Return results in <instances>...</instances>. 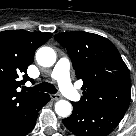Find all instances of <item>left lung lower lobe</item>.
Here are the masks:
<instances>
[{
    "label": "left lung lower lobe",
    "instance_id": "left-lung-lower-lobe-1",
    "mask_svg": "<svg viewBox=\"0 0 136 136\" xmlns=\"http://www.w3.org/2000/svg\"><path fill=\"white\" fill-rule=\"evenodd\" d=\"M73 113L62 122L77 136H107L117 127L124 114L92 108L72 102Z\"/></svg>",
    "mask_w": 136,
    "mask_h": 136
}]
</instances>
